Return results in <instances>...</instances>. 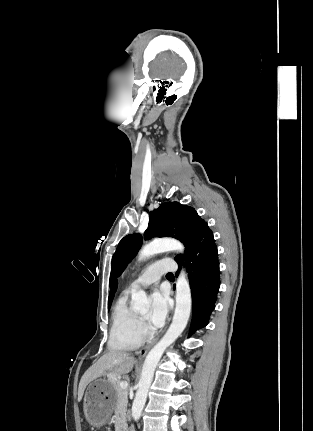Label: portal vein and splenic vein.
I'll return each mask as SVG.
<instances>
[{
	"mask_svg": "<svg viewBox=\"0 0 313 431\" xmlns=\"http://www.w3.org/2000/svg\"><path fill=\"white\" fill-rule=\"evenodd\" d=\"M119 385H120V388L127 389L129 384L127 381H121Z\"/></svg>",
	"mask_w": 313,
	"mask_h": 431,
	"instance_id": "portal-vein-and-splenic-vein-1",
	"label": "portal vein and splenic vein"
}]
</instances>
